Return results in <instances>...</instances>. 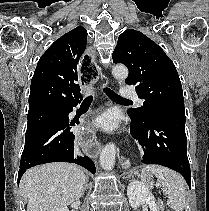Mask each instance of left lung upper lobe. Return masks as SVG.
Masks as SVG:
<instances>
[{
	"instance_id": "obj_1",
	"label": "left lung upper lobe",
	"mask_w": 209,
	"mask_h": 211,
	"mask_svg": "<svg viewBox=\"0 0 209 211\" xmlns=\"http://www.w3.org/2000/svg\"><path fill=\"white\" fill-rule=\"evenodd\" d=\"M113 62L129 69L127 85H136L140 108L128 111L144 119L151 112L162 109L184 110L182 86L173 62L165 52L143 33L127 29L118 39Z\"/></svg>"
}]
</instances>
